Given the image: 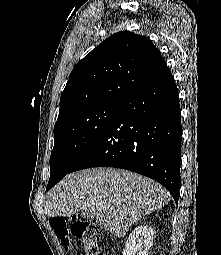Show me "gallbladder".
<instances>
[{"instance_id": "1", "label": "gallbladder", "mask_w": 221, "mask_h": 255, "mask_svg": "<svg viewBox=\"0 0 221 255\" xmlns=\"http://www.w3.org/2000/svg\"><path fill=\"white\" fill-rule=\"evenodd\" d=\"M81 215L85 218H91L94 216L93 212L89 210H82Z\"/></svg>"}]
</instances>
